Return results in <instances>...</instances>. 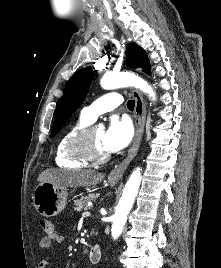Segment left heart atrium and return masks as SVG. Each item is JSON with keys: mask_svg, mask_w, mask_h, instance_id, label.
I'll return each mask as SVG.
<instances>
[{"mask_svg": "<svg viewBox=\"0 0 221 268\" xmlns=\"http://www.w3.org/2000/svg\"><path fill=\"white\" fill-rule=\"evenodd\" d=\"M132 136L133 129L130 121L126 118L114 117L104 132V147L108 153L118 152L130 143Z\"/></svg>", "mask_w": 221, "mask_h": 268, "instance_id": "left-heart-atrium-1", "label": "left heart atrium"}]
</instances>
